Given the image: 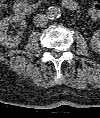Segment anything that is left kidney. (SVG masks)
Listing matches in <instances>:
<instances>
[{
	"instance_id": "obj_1",
	"label": "left kidney",
	"mask_w": 100,
	"mask_h": 118,
	"mask_svg": "<svg viewBox=\"0 0 100 118\" xmlns=\"http://www.w3.org/2000/svg\"><path fill=\"white\" fill-rule=\"evenodd\" d=\"M91 44L95 48H99V46H100V33H99V31H97L93 34L92 39H91Z\"/></svg>"
}]
</instances>
